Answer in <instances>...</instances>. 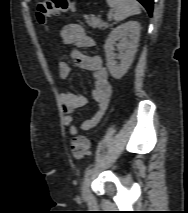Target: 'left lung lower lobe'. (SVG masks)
Segmentation results:
<instances>
[{"instance_id":"obj_1","label":"left lung lower lobe","mask_w":188,"mask_h":213,"mask_svg":"<svg viewBox=\"0 0 188 213\" xmlns=\"http://www.w3.org/2000/svg\"><path fill=\"white\" fill-rule=\"evenodd\" d=\"M148 11V13L152 14L153 9V0H138Z\"/></svg>"}]
</instances>
